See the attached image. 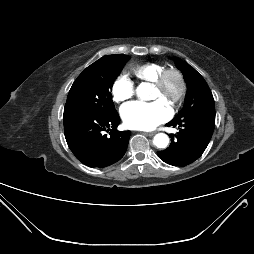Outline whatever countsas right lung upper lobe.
I'll list each match as a JSON object with an SVG mask.
<instances>
[{
	"label": "right lung upper lobe",
	"mask_w": 254,
	"mask_h": 254,
	"mask_svg": "<svg viewBox=\"0 0 254 254\" xmlns=\"http://www.w3.org/2000/svg\"><path fill=\"white\" fill-rule=\"evenodd\" d=\"M109 56H127V55H109Z\"/></svg>",
	"instance_id": "right-lung-upper-lobe-1"
}]
</instances>
